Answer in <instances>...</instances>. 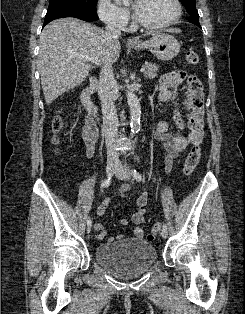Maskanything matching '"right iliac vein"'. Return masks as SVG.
Segmentation results:
<instances>
[{
	"mask_svg": "<svg viewBox=\"0 0 245 314\" xmlns=\"http://www.w3.org/2000/svg\"><path fill=\"white\" fill-rule=\"evenodd\" d=\"M115 169H116V164L113 162L109 163L106 168L107 177H111L114 174ZM91 228H92V223L87 225V233L91 232Z\"/></svg>",
	"mask_w": 245,
	"mask_h": 314,
	"instance_id": "1",
	"label": "right iliac vein"
}]
</instances>
